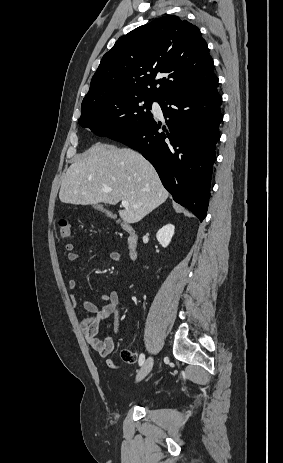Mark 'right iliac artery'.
<instances>
[{
	"instance_id": "82829eb1",
	"label": "right iliac artery",
	"mask_w": 283,
	"mask_h": 463,
	"mask_svg": "<svg viewBox=\"0 0 283 463\" xmlns=\"http://www.w3.org/2000/svg\"><path fill=\"white\" fill-rule=\"evenodd\" d=\"M144 361H145V355L140 354V356H139V366H142Z\"/></svg>"
}]
</instances>
